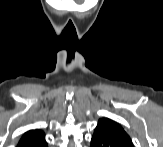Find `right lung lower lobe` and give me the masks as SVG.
I'll return each instance as SVG.
<instances>
[{
  "label": "right lung lower lobe",
  "mask_w": 163,
  "mask_h": 147,
  "mask_svg": "<svg viewBox=\"0 0 163 147\" xmlns=\"http://www.w3.org/2000/svg\"><path fill=\"white\" fill-rule=\"evenodd\" d=\"M17 147H47L45 135H31L22 137Z\"/></svg>",
  "instance_id": "98d812e1"
}]
</instances>
